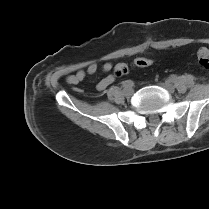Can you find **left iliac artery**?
<instances>
[{"label": "left iliac artery", "instance_id": "44dca946", "mask_svg": "<svg viewBox=\"0 0 209 209\" xmlns=\"http://www.w3.org/2000/svg\"><path fill=\"white\" fill-rule=\"evenodd\" d=\"M168 82H172L174 84H178L179 83V78L175 75H171L168 79Z\"/></svg>", "mask_w": 209, "mask_h": 209}]
</instances>
